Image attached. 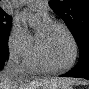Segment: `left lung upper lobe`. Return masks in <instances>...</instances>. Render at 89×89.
<instances>
[{
  "mask_svg": "<svg viewBox=\"0 0 89 89\" xmlns=\"http://www.w3.org/2000/svg\"><path fill=\"white\" fill-rule=\"evenodd\" d=\"M49 5L66 23L79 48L89 42V0H51Z\"/></svg>",
  "mask_w": 89,
  "mask_h": 89,
  "instance_id": "obj_1",
  "label": "left lung upper lobe"
}]
</instances>
